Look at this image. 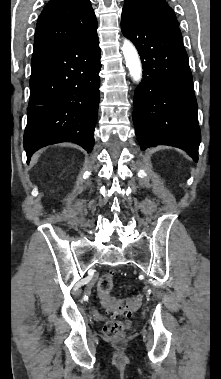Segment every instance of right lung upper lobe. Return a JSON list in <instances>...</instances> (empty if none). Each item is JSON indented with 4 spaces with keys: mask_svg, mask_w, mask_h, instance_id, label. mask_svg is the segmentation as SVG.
I'll list each match as a JSON object with an SVG mask.
<instances>
[{
    "mask_svg": "<svg viewBox=\"0 0 221 379\" xmlns=\"http://www.w3.org/2000/svg\"><path fill=\"white\" fill-rule=\"evenodd\" d=\"M97 25L89 0H50L37 21L32 58L78 41Z\"/></svg>",
    "mask_w": 221,
    "mask_h": 379,
    "instance_id": "obj_1",
    "label": "right lung upper lobe"
}]
</instances>
